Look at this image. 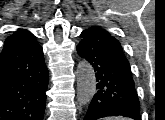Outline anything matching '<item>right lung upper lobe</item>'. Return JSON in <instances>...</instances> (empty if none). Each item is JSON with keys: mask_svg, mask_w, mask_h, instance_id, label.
<instances>
[{"mask_svg": "<svg viewBox=\"0 0 165 120\" xmlns=\"http://www.w3.org/2000/svg\"><path fill=\"white\" fill-rule=\"evenodd\" d=\"M27 33H28V31L19 29V30L16 31L13 35L9 36V37L7 38L6 41L19 38V37H21V36H23V35H25V34H27Z\"/></svg>", "mask_w": 165, "mask_h": 120, "instance_id": "right-lung-upper-lobe-1", "label": "right lung upper lobe"}]
</instances>
